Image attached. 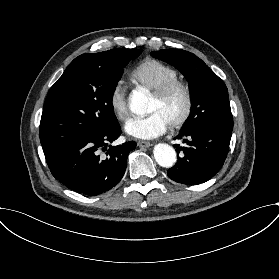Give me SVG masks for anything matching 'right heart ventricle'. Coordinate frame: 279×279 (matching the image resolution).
<instances>
[{
	"label": "right heart ventricle",
	"mask_w": 279,
	"mask_h": 279,
	"mask_svg": "<svg viewBox=\"0 0 279 279\" xmlns=\"http://www.w3.org/2000/svg\"><path fill=\"white\" fill-rule=\"evenodd\" d=\"M132 76L148 89L155 91L164 83L179 78L178 71L157 59H146L132 71Z\"/></svg>",
	"instance_id": "obj_1"
}]
</instances>
